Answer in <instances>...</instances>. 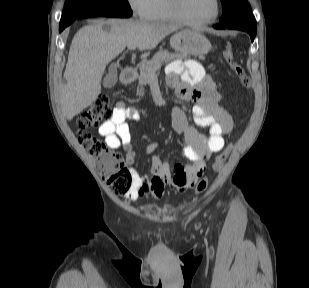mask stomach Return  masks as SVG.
Segmentation results:
<instances>
[{
	"instance_id": "1",
	"label": "stomach",
	"mask_w": 309,
	"mask_h": 288,
	"mask_svg": "<svg viewBox=\"0 0 309 288\" xmlns=\"http://www.w3.org/2000/svg\"><path fill=\"white\" fill-rule=\"evenodd\" d=\"M170 45L185 57L202 56L211 49L209 40L198 31L183 29L170 38Z\"/></svg>"
}]
</instances>
